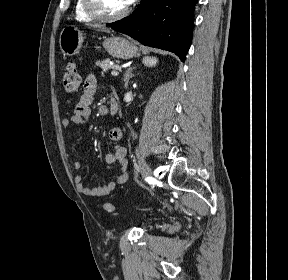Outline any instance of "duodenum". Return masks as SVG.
<instances>
[{
    "instance_id": "obj_1",
    "label": "duodenum",
    "mask_w": 288,
    "mask_h": 280,
    "mask_svg": "<svg viewBox=\"0 0 288 280\" xmlns=\"http://www.w3.org/2000/svg\"><path fill=\"white\" fill-rule=\"evenodd\" d=\"M118 109H119L118 101L115 98L111 99L110 104H109V112H110V114L111 115L117 114Z\"/></svg>"
}]
</instances>
